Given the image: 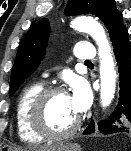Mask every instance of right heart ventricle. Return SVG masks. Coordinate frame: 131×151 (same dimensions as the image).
I'll use <instances>...</instances> for the list:
<instances>
[{
	"mask_svg": "<svg viewBox=\"0 0 131 151\" xmlns=\"http://www.w3.org/2000/svg\"><path fill=\"white\" fill-rule=\"evenodd\" d=\"M41 83L31 84L20 93L15 108V126L19 138L27 144L40 143L43 138L36 134L30 124V111L37 95L43 90Z\"/></svg>",
	"mask_w": 131,
	"mask_h": 151,
	"instance_id": "e07e8e85",
	"label": "right heart ventricle"
}]
</instances>
